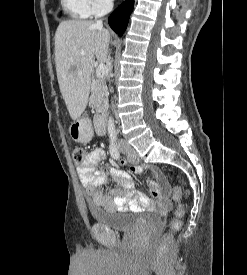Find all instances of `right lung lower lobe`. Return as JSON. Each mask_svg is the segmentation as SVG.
<instances>
[{
  "label": "right lung lower lobe",
  "mask_w": 247,
  "mask_h": 275,
  "mask_svg": "<svg viewBox=\"0 0 247 275\" xmlns=\"http://www.w3.org/2000/svg\"><path fill=\"white\" fill-rule=\"evenodd\" d=\"M134 7L133 0H126L114 12L109 16L108 22L110 27L119 35L122 36L128 21L130 14Z\"/></svg>",
  "instance_id": "98d812e1"
}]
</instances>
